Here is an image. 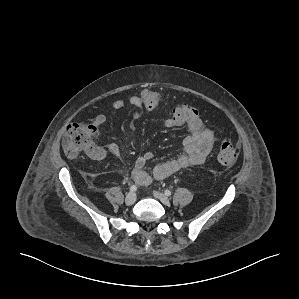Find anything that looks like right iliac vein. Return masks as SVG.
<instances>
[{
	"instance_id": "63e3f726",
	"label": "right iliac vein",
	"mask_w": 299,
	"mask_h": 299,
	"mask_svg": "<svg viewBox=\"0 0 299 299\" xmlns=\"http://www.w3.org/2000/svg\"><path fill=\"white\" fill-rule=\"evenodd\" d=\"M136 201V194L133 192H130L125 197V203L127 205H132Z\"/></svg>"
}]
</instances>
